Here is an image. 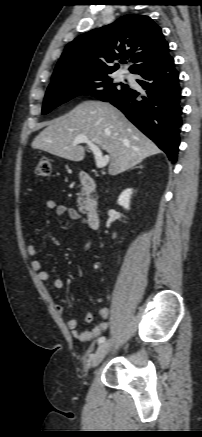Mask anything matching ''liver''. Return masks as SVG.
Here are the masks:
<instances>
[{
    "label": "liver",
    "instance_id": "obj_1",
    "mask_svg": "<svg viewBox=\"0 0 202 437\" xmlns=\"http://www.w3.org/2000/svg\"><path fill=\"white\" fill-rule=\"evenodd\" d=\"M78 135L86 136L106 150L110 157L108 173L112 176L161 152L122 112L101 101H85L68 114L50 121L31 146L79 162L85 157V148L73 145Z\"/></svg>",
    "mask_w": 202,
    "mask_h": 437
}]
</instances>
